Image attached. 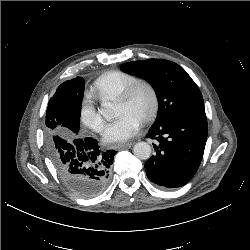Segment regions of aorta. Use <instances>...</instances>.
Masks as SVG:
<instances>
[{
	"mask_svg": "<svg viewBox=\"0 0 250 250\" xmlns=\"http://www.w3.org/2000/svg\"><path fill=\"white\" fill-rule=\"evenodd\" d=\"M113 113L114 110L112 106L109 103H104L103 108L101 109V114L107 118L112 116ZM151 152V146L147 142H138L133 147L134 155L141 160H146L150 158Z\"/></svg>",
	"mask_w": 250,
	"mask_h": 250,
	"instance_id": "obj_1",
	"label": "aorta"
}]
</instances>
